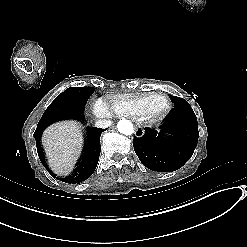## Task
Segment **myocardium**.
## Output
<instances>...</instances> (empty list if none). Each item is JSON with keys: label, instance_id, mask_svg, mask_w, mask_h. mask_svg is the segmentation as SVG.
I'll list each match as a JSON object with an SVG mask.
<instances>
[{"label": "myocardium", "instance_id": "obj_1", "mask_svg": "<svg viewBox=\"0 0 247 247\" xmlns=\"http://www.w3.org/2000/svg\"><path fill=\"white\" fill-rule=\"evenodd\" d=\"M169 99L162 93H152L145 107L141 110L143 119L153 122L159 119L167 111Z\"/></svg>", "mask_w": 247, "mask_h": 247}]
</instances>
